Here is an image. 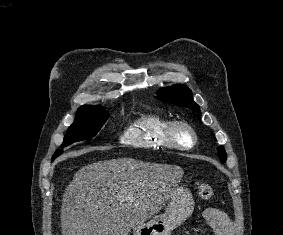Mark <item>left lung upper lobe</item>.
<instances>
[{"label":"left lung upper lobe","instance_id":"5c2ea615","mask_svg":"<svg viewBox=\"0 0 283 235\" xmlns=\"http://www.w3.org/2000/svg\"><path fill=\"white\" fill-rule=\"evenodd\" d=\"M157 99L189 108L195 112L199 111V106L194 102L191 90L185 85H173L160 89L157 92ZM218 156L221 161H226V151L223 146L218 147Z\"/></svg>","mask_w":283,"mask_h":235}]
</instances>
